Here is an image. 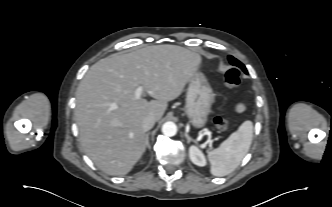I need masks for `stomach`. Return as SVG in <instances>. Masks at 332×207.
<instances>
[{"label":"stomach","mask_w":332,"mask_h":207,"mask_svg":"<svg viewBox=\"0 0 332 207\" xmlns=\"http://www.w3.org/2000/svg\"><path fill=\"white\" fill-rule=\"evenodd\" d=\"M214 102V93L206 77L197 72L189 80L185 113L194 128H202Z\"/></svg>","instance_id":"0dacf381"}]
</instances>
